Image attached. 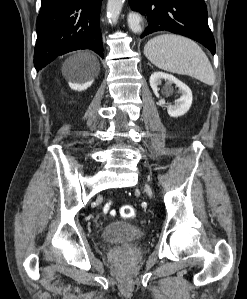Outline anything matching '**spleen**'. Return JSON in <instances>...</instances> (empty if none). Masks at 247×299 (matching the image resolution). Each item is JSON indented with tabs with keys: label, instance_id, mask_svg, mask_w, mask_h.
<instances>
[{
	"label": "spleen",
	"instance_id": "obj_1",
	"mask_svg": "<svg viewBox=\"0 0 247 299\" xmlns=\"http://www.w3.org/2000/svg\"><path fill=\"white\" fill-rule=\"evenodd\" d=\"M144 55L159 69L188 75L207 85L215 82L214 71L207 55L196 42L186 37L158 35L146 43Z\"/></svg>",
	"mask_w": 247,
	"mask_h": 299
}]
</instances>
